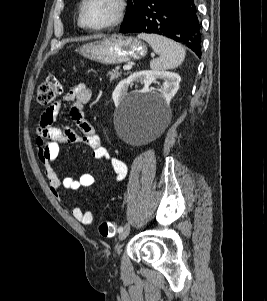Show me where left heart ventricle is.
I'll use <instances>...</instances> for the list:
<instances>
[{
	"label": "left heart ventricle",
	"mask_w": 267,
	"mask_h": 301,
	"mask_svg": "<svg viewBox=\"0 0 267 301\" xmlns=\"http://www.w3.org/2000/svg\"><path fill=\"white\" fill-rule=\"evenodd\" d=\"M116 12L114 0H88L85 21L89 25H100L110 21Z\"/></svg>",
	"instance_id": "left-heart-ventricle-1"
}]
</instances>
